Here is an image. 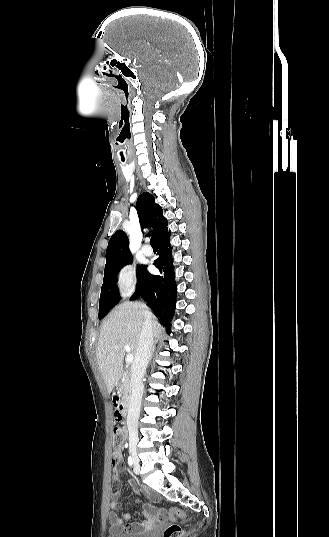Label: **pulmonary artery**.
<instances>
[{
    "mask_svg": "<svg viewBox=\"0 0 329 537\" xmlns=\"http://www.w3.org/2000/svg\"><path fill=\"white\" fill-rule=\"evenodd\" d=\"M142 252L143 254H145L146 256H150L152 254V248L149 246V245H144L142 247Z\"/></svg>",
    "mask_w": 329,
    "mask_h": 537,
    "instance_id": "e3ab8cb5",
    "label": "pulmonary artery"
}]
</instances>
